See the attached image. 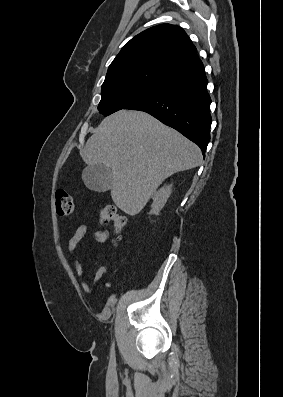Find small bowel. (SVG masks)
<instances>
[{"instance_id": "1", "label": "small bowel", "mask_w": 283, "mask_h": 397, "mask_svg": "<svg viewBox=\"0 0 283 397\" xmlns=\"http://www.w3.org/2000/svg\"><path fill=\"white\" fill-rule=\"evenodd\" d=\"M86 234H87V226L84 223L79 224L72 237L68 240L67 251L69 254H73L75 252L78 244L83 240ZM92 237L95 241L99 243H104L107 241L109 237V233L106 229H99L93 232ZM83 271L84 270L82 264L80 263L79 260H76L75 261L76 275L81 277L83 275ZM105 272H106L105 267L98 268L94 276V280L96 284H98L102 280ZM80 284L86 294L88 295L92 294V288L86 281L81 280Z\"/></svg>"}]
</instances>
